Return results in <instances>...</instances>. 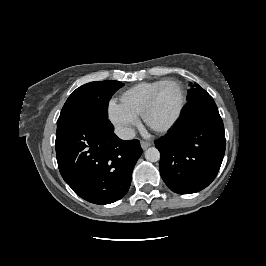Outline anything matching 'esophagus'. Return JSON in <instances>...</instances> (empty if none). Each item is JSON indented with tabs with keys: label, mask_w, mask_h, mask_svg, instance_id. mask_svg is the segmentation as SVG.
<instances>
[{
	"label": "esophagus",
	"mask_w": 266,
	"mask_h": 266,
	"mask_svg": "<svg viewBox=\"0 0 266 266\" xmlns=\"http://www.w3.org/2000/svg\"><path fill=\"white\" fill-rule=\"evenodd\" d=\"M141 147L143 150H146L149 146H151V143L148 141L141 140L140 141Z\"/></svg>",
	"instance_id": "34e87169"
}]
</instances>
